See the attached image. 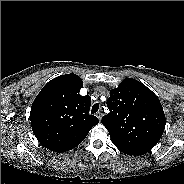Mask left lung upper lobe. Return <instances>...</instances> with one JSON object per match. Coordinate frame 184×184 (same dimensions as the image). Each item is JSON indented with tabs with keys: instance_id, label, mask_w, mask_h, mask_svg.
Returning a JSON list of instances; mask_svg holds the SVG:
<instances>
[{
	"instance_id": "obj_1",
	"label": "left lung upper lobe",
	"mask_w": 184,
	"mask_h": 184,
	"mask_svg": "<svg viewBox=\"0 0 184 184\" xmlns=\"http://www.w3.org/2000/svg\"><path fill=\"white\" fill-rule=\"evenodd\" d=\"M110 93L107 100L110 112L103 116L102 124L113 144L139 155L149 152L160 140L166 124L159 99L132 78L124 79Z\"/></svg>"
}]
</instances>
